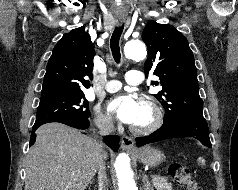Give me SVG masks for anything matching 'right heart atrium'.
I'll list each match as a JSON object with an SVG mask.
<instances>
[{
	"label": "right heart atrium",
	"mask_w": 238,
	"mask_h": 190,
	"mask_svg": "<svg viewBox=\"0 0 238 190\" xmlns=\"http://www.w3.org/2000/svg\"><path fill=\"white\" fill-rule=\"evenodd\" d=\"M94 121L102 130H111L114 126L112 118L102 113L99 109H95L94 111Z\"/></svg>",
	"instance_id": "right-heart-atrium-1"
}]
</instances>
